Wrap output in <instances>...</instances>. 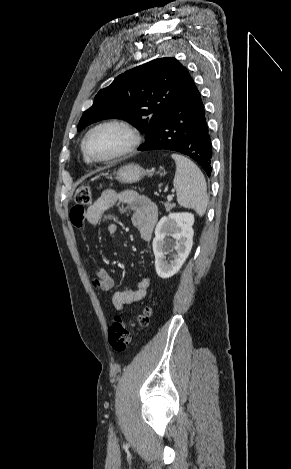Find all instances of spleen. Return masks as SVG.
Listing matches in <instances>:
<instances>
[{"label":"spleen","instance_id":"1","mask_svg":"<svg viewBox=\"0 0 291 469\" xmlns=\"http://www.w3.org/2000/svg\"><path fill=\"white\" fill-rule=\"evenodd\" d=\"M176 163L173 185L180 206L193 209L199 216L208 205L206 181L198 166L185 156L172 154Z\"/></svg>","mask_w":291,"mask_h":469}]
</instances>
